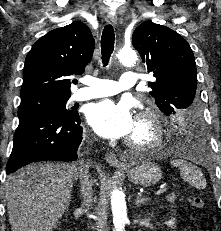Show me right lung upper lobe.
<instances>
[{"label": "right lung upper lobe", "mask_w": 221, "mask_h": 231, "mask_svg": "<svg viewBox=\"0 0 221 231\" xmlns=\"http://www.w3.org/2000/svg\"><path fill=\"white\" fill-rule=\"evenodd\" d=\"M94 39L82 22L54 29L32 46L25 59L21 99L70 97L72 75H81L91 61Z\"/></svg>", "instance_id": "right-lung-upper-lobe-1"}]
</instances>
